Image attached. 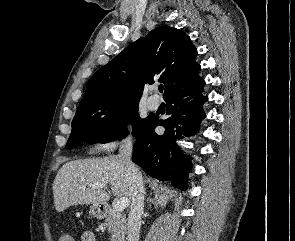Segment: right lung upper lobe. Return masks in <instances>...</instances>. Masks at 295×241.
Here are the masks:
<instances>
[{
	"label": "right lung upper lobe",
	"mask_w": 295,
	"mask_h": 241,
	"mask_svg": "<svg viewBox=\"0 0 295 241\" xmlns=\"http://www.w3.org/2000/svg\"><path fill=\"white\" fill-rule=\"evenodd\" d=\"M197 50L188 35L169 26L152 30L126 47L90 79L79 106L109 100L139 102L143 85L158 80L164 99L201 79Z\"/></svg>",
	"instance_id": "right-lung-upper-lobe-1"
}]
</instances>
